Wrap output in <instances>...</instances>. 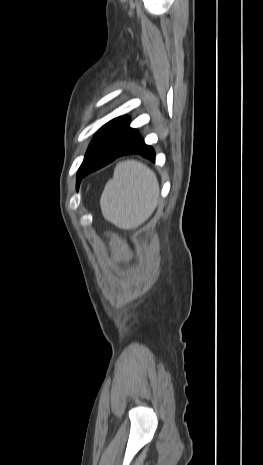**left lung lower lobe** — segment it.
<instances>
[{
  "instance_id": "0a47b994",
  "label": "left lung lower lobe",
  "mask_w": 263,
  "mask_h": 465,
  "mask_svg": "<svg viewBox=\"0 0 263 465\" xmlns=\"http://www.w3.org/2000/svg\"><path fill=\"white\" fill-rule=\"evenodd\" d=\"M129 122V118L119 117L108 126L84 164L82 177L125 154H140L155 161L154 150L144 143L135 129L129 127Z\"/></svg>"
}]
</instances>
